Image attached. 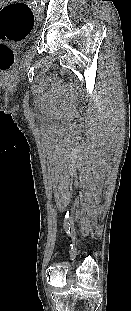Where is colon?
Wrapping results in <instances>:
<instances>
[{
  "label": "colon",
  "mask_w": 131,
  "mask_h": 311,
  "mask_svg": "<svg viewBox=\"0 0 131 311\" xmlns=\"http://www.w3.org/2000/svg\"><path fill=\"white\" fill-rule=\"evenodd\" d=\"M34 27V14L27 3L7 0L0 3V40L20 42ZM14 62V53L0 43V70L7 71Z\"/></svg>",
  "instance_id": "obj_1"
}]
</instances>
